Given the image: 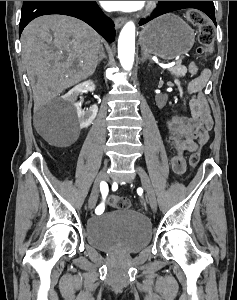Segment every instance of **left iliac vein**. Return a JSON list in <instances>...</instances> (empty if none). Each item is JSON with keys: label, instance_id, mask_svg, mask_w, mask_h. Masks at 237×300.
I'll list each match as a JSON object with an SVG mask.
<instances>
[{"label": "left iliac vein", "instance_id": "1", "mask_svg": "<svg viewBox=\"0 0 237 300\" xmlns=\"http://www.w3.org/2000/svg\"><path fill=\"white\" fill-rule=\"evenodd\" d=\"M136 169H137L139 177L141 178L142 187L146 191V195H147L150 207L153 211H155L157 208V202H156L155 192H154V189L150 182V179L141 166L137 165Z\"/></svg>", "mask_w": 237, "mask_h": 300}]
</instances>
